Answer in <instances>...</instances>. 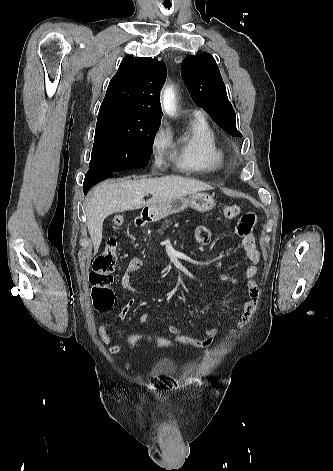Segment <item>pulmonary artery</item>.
Returning a JSON list of instances; mask_svg holds the SVG:
<instances>
[{
    "label": "pulmonary artery",
    "instance_id": "obj_1",
    "mask_svg": "<svg viewBox=\"0 0 333 471\" xmlns=\"http://www.w3.org/2000/svg\"><path fill=\"white\" fill-rule=\"evenodd\" d=\"M195 114H196V115H199V112H196Z\"/></svg>",
    "mask_w": 333,
    "mask_h": 471
}]
</instances>
